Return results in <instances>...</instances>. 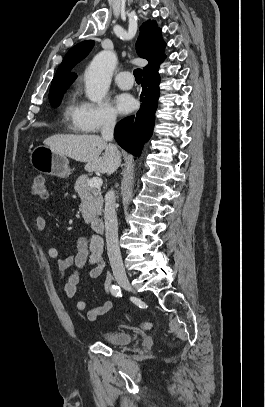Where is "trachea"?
Instances as JSON below:
<instances>
[{
	"label": "trachea",
	"instance_id": "obj_1",
	"mask_svg": "<svg viewBox=\"0 0 265 407\" xmlns=\"http://www.w3.org/2000/svg\"><path fill=\"white\" fill-rule=\"evenodd\" d=\"M142 74H143V72L141 69L138 68V69L134 70V76H135L136 81H141Z\"/></svg>",
	"mask_w": 265,
	"mask_h": 407
}]
</instances>
